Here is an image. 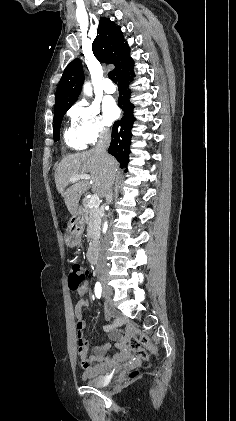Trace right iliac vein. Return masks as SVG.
<instances>
[{
  "instance_id": "63e3f726",
  "label": "right iliac vein",
  "mask_w": 236,
  "mask_h": 421,
  "mask_svg": "<svg viewBox=\"0 0 236 421\" xmlns=\"http://www.w3.org/2000/svg\"><path fill=\"white\" fill-rule=\"evenodd\" d=\"M101 282H102L103 284H105V283H106V280L101 279ZM104 295H105L107 298H110V297H112V296H113V292H112V290H110V289H105V290H104Z\"/></svg>"
}]
</instances>
